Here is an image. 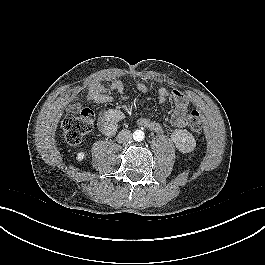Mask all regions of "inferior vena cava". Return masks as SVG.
I'll list each match as a JSON object with an SVG mask.
<instances>
[{
  "instance_id": "obj_1",
  "label": "inferior vena cava",
  "mask_w": 265,
  "mask_h": 265,
  "mask_svg": "<svg viewBox=\"0 0 265 265\" xmlns=\"http://www.w3.org/2000/svg\"><path fill=\"white\" fill-rule=\"evenodd\" d=\"M132 139V134L129 130H122L118 133L116 140L118 143H125Z\"/></svg>"
}]
</instances>
